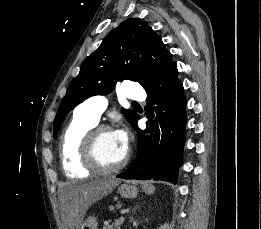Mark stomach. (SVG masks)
I'll use <instances>...</instances> for the list:
<instances>
[{
    "mask_svg": "<svg viewBox=\"0 0 261 229\" xmlns=\"http://www.w3.org/2000/svg\"><path fill=\"white\" fill-rule=\"evenodd\" d=\"M142 191L146 193V195H152V193H154V187L149 185V183H142ZM119 193L122 197H125V199H135L138 195V189L137 187H133V185H121V187H119ZM81 229H98L96 217H88L83 225H81Z\"/></svg>",
    "mask_w": 261,
    "mask_h": 229,
    "instance_id": "obj_1",
    "label": "stomach"
}]
</instances>
